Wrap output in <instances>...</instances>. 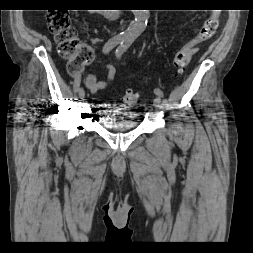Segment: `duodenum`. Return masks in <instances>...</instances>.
Returning <instances> with one entry per match:
<instances>
[{
  "instance_id": "1",
  "label": "duodenum",
  "mask_w": 253,
  "mask_h": 253,
  "mask_svg": "<svg viewBox=\"0 0 253 253\" xmlns=\"http://www.w3.org/2000/svg\"><path fill=\"white\" fill-rule=\"evenodd\" d=\"M107 17L112 18V19H117L120 17L121 12L114 10V9H108L104 11Z\"/></svg>"
}]
</instances>
